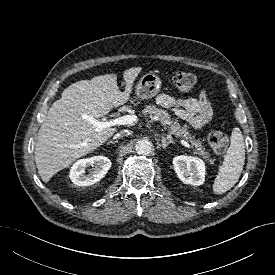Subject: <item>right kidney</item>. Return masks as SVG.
<instances>
[{
    "mask_svg": "<svg viewBox=\"0 0 275 275\" xmlns=\"http://www.w3.org/2000/svg\"><path fill=\"white\" fill-rule=\"evenodd\" d=\"M92 167L89 169V167ZM111 167V161L105 156L80 159L73 164L69 177L79 186H90L100 181ZM86 170L88 173L86 174Z\"/></svg>",
    "mask_w": 275,
    "mask_h": 275,
    "instance_id": "right-kidney-1",
    "label": "right kidney"
}]
</instances>
